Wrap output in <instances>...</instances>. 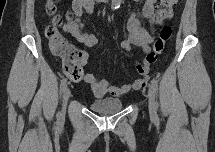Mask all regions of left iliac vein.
<instances>
[{"label":"left iliac vein","instance_id":"4c4485c4","mask_svg":"<svg viewBox=\"0 0 215 152\" xmlns=\"http://www.w3.org/2000/svg\"><path fill=\"white\" fill-rule=\"evenodd\" d=\"M148 108L149 114L152 119L156 117V104H155V96L152 87L148 91Z\"/></svg>","mask_w":215,"mask_h":152}]
</instances>
